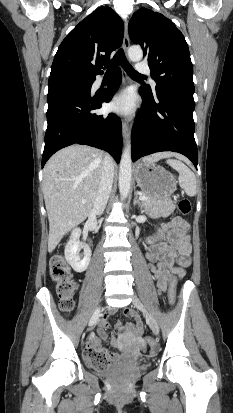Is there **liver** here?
Returning a JSON list of instances; mask_svg holds the SVG:
<instances>
[{
	"mask_svg": "<svg viewBox=\"0 0 233 413\" xmlns=\"http://www.w3.org/2000/svg\"><path fill=\"white\" fill-rule=\"evenodd\" d=\"M181 156L162 152L145 157L154 163ZM104 155L96 148L72 145L55 153L43 170V194L49 220L48 252L89 215L101 179ZM85 201V203H83Z\"/></svg>",
	"mask_w": 233,
	"mask_h": 413,
	"instance_id": "1",
	"label": "liver"
}]
</instances>
